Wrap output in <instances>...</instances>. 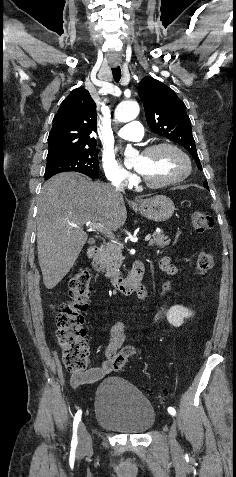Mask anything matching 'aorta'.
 I'll use <instances>...</instances> for the list:
<instances>
[{
	"instance_id": "obj_1",
	"label": "aorta",
	"mask_w": 236,
	"mask_h": 477,
	"mask_svg": "<svg viewBox=\"0 0 236 477\" xmlns=\"http://www.w3.org/2000/svg\"><path fill=\"white\" fill-rule=\"evenodd\" d=\"M139 105L136 101L121 102L115 110V118L120 122H129L134 120L139 114ZM135 155V150L127 148L125 150L126 159H130Z\"/></svg>"
}]
</instances>
